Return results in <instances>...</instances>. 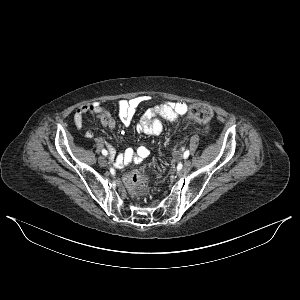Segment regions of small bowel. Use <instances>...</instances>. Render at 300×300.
<instances>
[{
	"label": "small bowel",
	"mask_w": 300,
	"mask_h": 300,
	"mask_svg": "<svg viewBox=\"0 0 300 300\" xmlns=\"http://www.w3.org/2000/svg\"><path fill=\"white\" fill-rule=\"evenodd\" d=\"M148 100L145 96H136L131 99H123L117 103L118 117L123 126L129 127L132 124L137 108ZM188 110V104L185 102H164L147 109L135 130L138 133L147 135H159L163 131V120L175 122ZM85 114L96 115L104 127L113 129L116 126V119L108 109L97 102H90L80 106L74 113V124L78 130L83 128V117ZM88 139H95L91 130L85 131ZM103 143L102 138L96 139ZM110 148V160L114 168L121 169L130 162H141L149 155V150L145 146H139L136 149L127 148L122 153L116 155L113 147Z\"/></svg>",
	"instance_id": "obj_1"
}]
</instances>
